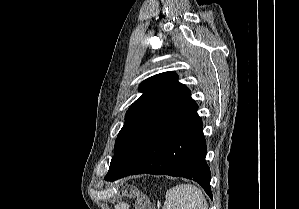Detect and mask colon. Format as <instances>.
<instances>
[{"mask_svg":"<svg viewBox=\"0 0 299 209\" xmlns=\"http://www.w3.org/2000/svg\"><path fill=\"white\" fill-rule=\"evenodd\" d=\"M123 193L126 196L136 197L135 209H153L149 199L143 194H138L133 186L124 187Z\"/></svg>","mask_w":299,"mask_h":209,"instance_id":"5ec220e1","label":"colon"}]
</instances>
